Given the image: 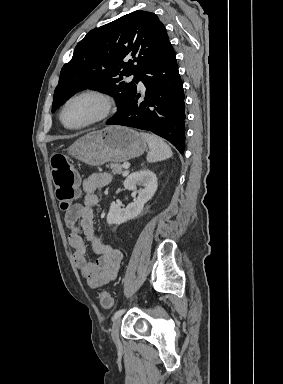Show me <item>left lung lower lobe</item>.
Masks as SVG:
<instances>
[{"label":"left lung lower lobe","instance_id":"obj_1","mask_svg":"<svg viewBox=\"0 0 283 384\" xmlns=\"http://www.w3.org/2000/svg\"><path fill=\"white\" fill-rule=\"evenodd\" d=\"M146 87L145 102H138L137 90L125 110L106 124L151 131L170 141L180 153L185 142V95L175 51L169 42L161 54L141 73Z\"/></svg>","mask_w":283,"mask_h":384}]
</instances>
